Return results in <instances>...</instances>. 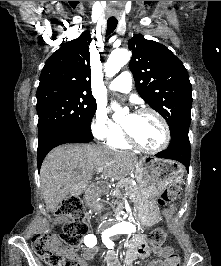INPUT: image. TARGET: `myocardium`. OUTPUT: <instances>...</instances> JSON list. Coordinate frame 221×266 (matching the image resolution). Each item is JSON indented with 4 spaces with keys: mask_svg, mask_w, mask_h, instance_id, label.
Returning <instances> with one entry per match:
<instances>
[{
    "mask_svg": "<svg viewBox=\"0 0 221 266\" xmlns=\"http://www.w3.org/2000/svg\"><path fill=\"white\" fill-rule=\"evenodd\" d=\"M144 113L152 114L158 119V121L162 125L163 131H164V137H163L161 144L154 148L144 147L134 138V136L130 133V131L126 127L122 126L124 138L130 146H132L133 148L141 152L149 153V154L158 153L164 150L170 142L171 133H170L169 125L167 121L165 120V118L159 112H157L156 110L152 108L144 107V108L138 109L135 112V114H144Z\"/></svg>",
    "mask_w": 221,
    "mask_h": 266,
    "instance_id": "1",
    "label": "myocardium"
}]
</instances>
